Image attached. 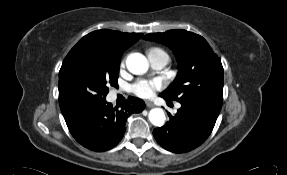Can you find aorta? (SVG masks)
Here are the masks:
<instances>
[{"instance_id":"obj_1","label":"aorta","mask_w":287,"mask_h":175,"mask_svg":"<svg viewBox=\"0 0 287 175\" xmlns=\"http://www.w3.org/2000/svg\"><path fill=\"white\" fill-rule=\"evenodd\" d=\"M127 69L136 75H141L147 72L149 63L147 58L141 53H131L126 59ZM149 121L157 127L164 125L166 117L162 108H153L148 114Z\"/></svg>"}]
</instances>
